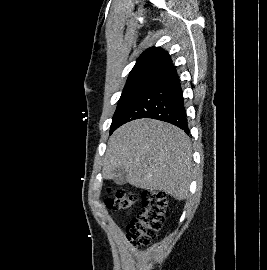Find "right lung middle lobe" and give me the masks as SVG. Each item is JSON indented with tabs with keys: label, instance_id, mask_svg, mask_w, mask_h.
Returning <instances> with one entry per match:
<instances>
[{
	"label": "right lung middle lobe",
	"instance_id": "obj_1",
	"mask_svg": "<svg viewBox=\"0 0 267 270\" xmlns=\"http://www.w3.org/2000/svg\"><path fill=\"white\" fill-rule=\"evenodd\" d=\"M154 77L155 75H145L127 80L113 116L110 134L123 124L126 114L146 91Z\"/></svg>",
	"mask_w": 267,
	"mask_h": 270
}]
</instances>
